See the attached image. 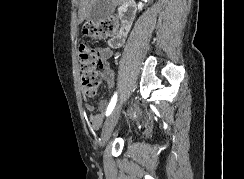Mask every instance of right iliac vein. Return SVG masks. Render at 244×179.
<instances>
[{
  "mask_svg": "<svg viewBox=\"0 0 244 179\" xmlns=\"http://www.w3.org/2000/svg\"><path fill=\"white\" fill-rule=\"evenodd\" d=\"M120 106H121V103H119L114 108V110L112 111V113L110 114V116L108 117V119L106 120V122L104 124L103 132L101 135V145L102 146H104V144L110 138V135L114 129V126H115V124L118 120L119 114H120Z\"/></svg>",
  "mask_w": 244,
  "mask_h": 179,
  "instance_id": "63e3f726",
  "label": "right iliac vein"
}]
</instances>
